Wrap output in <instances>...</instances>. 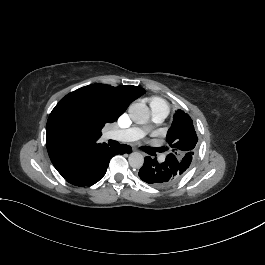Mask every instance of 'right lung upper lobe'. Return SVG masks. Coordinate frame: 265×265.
<instances>
[{
    "instance_id": "cb5924a9",
    "label": "right lung upper lobe",
    "mask_w": 265,
    "mask_h": 265,
    "mask_svg": "<svg viewBox=\"0 0 265 265\" xmlns=\"http://www.w3.org/2000/svg\"><path fill=\"white\" fill-rule=\"evenodd\" d=\"M145 92L132 85L92 84L66 95L52 110L46 126V146L57 171L63 173L82 155L106 145L98 143L101 129Z\"/></svg>"
}]
</instances>
